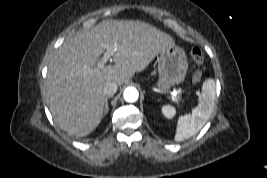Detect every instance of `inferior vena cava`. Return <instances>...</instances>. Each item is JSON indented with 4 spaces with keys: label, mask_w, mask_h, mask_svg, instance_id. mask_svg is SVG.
Returning <instances> with one entry per match:
<instances>
[{
    "label": "inferior vena cava",
    "mask_w": 267,
    "mask_h": 178,
    "mask_svg": "<svg viewBox=\"0 0 267 178\" xmlns=\"http://www.w3.org/2000/svg\"><path fill=\"white\" fill-rule=\"evenodd\" d=\"M118 85L114 82H107L103 87V93L105 96H113L117 92Z\"/></svg>",
    "instance_id": "obj_1"
}]
</instances>
